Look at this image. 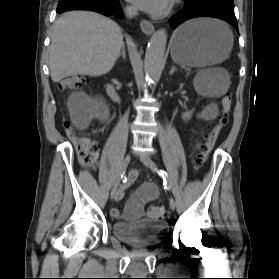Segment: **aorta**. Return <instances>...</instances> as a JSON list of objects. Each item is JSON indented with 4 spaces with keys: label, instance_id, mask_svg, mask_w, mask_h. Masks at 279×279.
<instances>
[{
    "label": "aorta",
    "instance_id": "762f6f07",
    "mask_svg": "<svg viewBox=\"0 0 279 279\" xmlns=\"http://www.w3.org/2000/svg\"><path fill=\"white\" fill-rule=\"evenodd\" d=\"M166 43L167 32L164 29L157 30L150 39L144 59V71L150 80H157L161 76Z\"/></svg>",
    "mask_w": 279,
    "mask_h": 279
}]
</instances>
